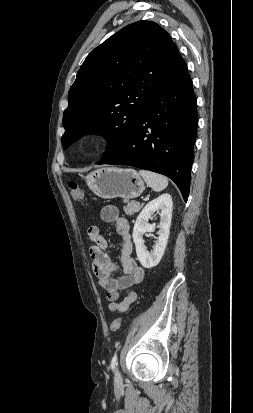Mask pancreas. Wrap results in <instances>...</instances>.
Segmentation results:
<instances>
[{
    "instance_id": "1",
    "label": "pancreas",
    "mask_w": 253,
    "mask_h": 413,
    "mask_svg": "<svg viewBox=\"0 0 253 413\" xmlns=\"http://www.w3.org/2000/svg\"><path fill=\"white\" fill-rule=\"evenodd\" d=\"M125 203H127L126 206H124V211L128 216H132L133 214L139 212V210L142 208L143 204H140L137 201H127L124 200Z\"/></svg>"
}]
</instances>
